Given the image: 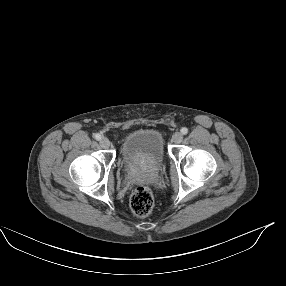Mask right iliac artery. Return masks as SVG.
<instances>
[{"label": "right iliac artery", "instance_id": "right-iliac-artery-1", "mask_svg": "<svg viewBox=\"0 0 286 286\" xmlns=\"http://www.w3.org/2000/svg\"><path fill=\"white\" fill-rule=\"evenodd\" d=\"M94 138H95L96 140H100V139H101V135L97 133V134L94 135Z\"/></svg>", "mask_w": 286, "mask_h": 286}]
</instances>
